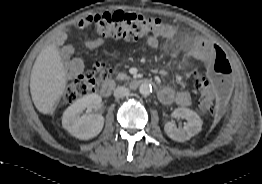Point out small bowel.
Wrapping results in <instances>:
<instances>
[{"label": "small bowel", "mask_w": 262, "mask_h": 184, "mask_svg": "<svg viewBox=\"0 0 262 184\" xmlns=\"http://www.w3.org/2000/svg\"><path fill=\"white\" fill-rule=\"evenodd\" d=\"M175 36L176 30L172 26L164 24L153 34L145 36L144 43L150 49H157L160 44V39L170 40L175 38ZM60 37L63 39V34H61ZM103 44V37L86 41V47L89 49L99 48ZM181 46L190 58L198 60L204 64L208 74L213 71L211 65L213 60L208 54L211 45L208 42L198 37H185L181 40ZM61 55L66 60L68 77H76L83 71L85 63L80 58H72L73 48L70 45L62 47ZM158 96L159 100L165 105L176 103L180 106H189L192 102V95L188 90L175 91L171 87H163L160 89Z\"/></svg>", "instance_id": "small-bowel-1"}]
</instances>
